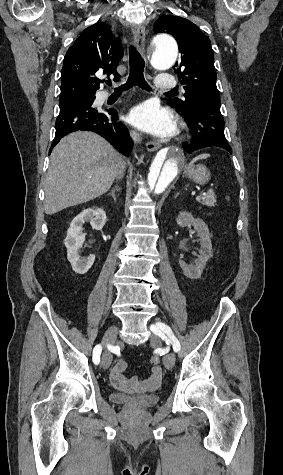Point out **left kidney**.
<instances>
[{
	"instance_id": "1",
	"label": "left kidney",
	"mask_w": 283,
	"mask_h": 475,
	"mask_svg": "<svg viewBox=\"0 0 283 475\" xmlns=\"http://www.w3.org/2000/svg\"><path fill=\"white\" fill-rule=\"evenodd\" d=\"M177 224L181 226V228L194 226V230L198 232L201 249H199L200 255H198V259H195V265H193V263H186L184 259H179V265L182 267L184 275L190 277V279H198V277H201L207 259H209L213 253L208 226H206L203 220L193 218L189 212H180L177 218Z\"/></svg>"
}]
</instances>
